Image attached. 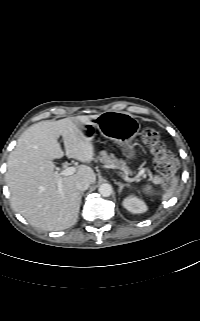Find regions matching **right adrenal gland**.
Listing matches in <instances>:
<instances>
[{"label": "right adrenal gland", "instance_id": "2a0ac1e0", "mask_svg": "<svg viewBox=\"0 0 200 321\" xmlns=\"http://www.w3.org/2000/svg\"><path fill=\"white\" fill-rule=\"evenodd\" d=\"M84 195V193L82 192L81 194H80V199H82V196Z\"/></svg>", "mask_w": 200, "mask_h": 321}]
</instances>
